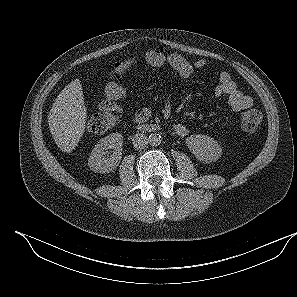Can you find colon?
I'll use <instances>...</instances> for the list:
<instances>
[{
    "label": "colon",
    "mask_w": 297,
    "mask_h": 297,
    "mask_svg": "<svg viewBox=\"0 0 297 297\" xmlns=\"http://www.w3.org/2000/svg\"><path fill=\"white\" fill-rule=\"evenodd\" d=\"M127 63V60L118 62L113 68L115 74L119 73ZM263 119L261 111L249 109L241 117V129L245 133H253L260 126ZM119 122V113L109 109H101V112L91 118L87 124V131L91 134L102 135L113 128Z\"/></svg>",
    "instance_id": "1"
}]
</instances>
